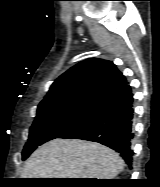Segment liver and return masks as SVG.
<instances>
[{
    "mask_svg": "<svg viewBox=\"0 0 160 187\" xmlns=\"http://www.w3.org/2000/svg\"><path fill=\"white\" fill-rule=\"evenodd\" d=\"M123 168L119 154L104 145L56 138L31 154L22 178L114 179Z\"/></svg>",
    "mask_w": 160,
    "mask_h": 187,
    "instance_id": "1",
    "label": "liver"
}]
</instances>
